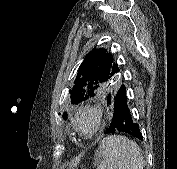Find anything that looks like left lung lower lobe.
Segmentation results:
<instances>
[{
	"instance_id": "1",
	"label": "left lung lower lobe",
	"mask_w": 177,
	"mask_h": 169,
	"mask_svg": "<svg viewBox=\"0 0 177 169\" xmlns=\"http://www.w3.org/2000/svg\"><path fill=\"white\" fill-rule=\"evenodd\" d=\"M107 104L114 108V116L105 134L125 132L138 139H143L137 124L128 108L126 88L122 85L113 97L107 96Z\"/></svg>"
}]
</instances>
